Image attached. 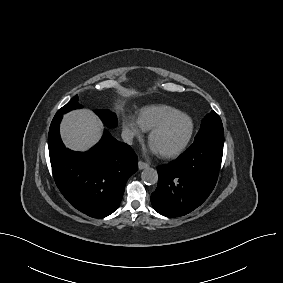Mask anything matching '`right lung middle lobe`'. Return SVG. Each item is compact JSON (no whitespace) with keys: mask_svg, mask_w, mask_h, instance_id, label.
<instances>
[{"mask_svg":"<svg viewBox=\"0 0 283 283\" xmlns=\"http://www.w3.org/2000/svg\"><path fill=\"white\" fill-rule=\"evenodd\" d=\"M78 104V96H74L65 106L58 110L56 114H65L73 109L80 108ZM96 113L102 119L104 124L108 127H115L117 125V117L109 110H97Z\"/></svg>","mask_w":283,"mask_h":283,"instance_id":"obj_1","label":"right lung middle lobe"}]
</instances>
